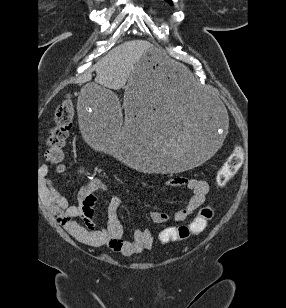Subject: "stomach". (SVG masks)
Here are the masks:
<instances>
[{
	"mask_svg": "<svg viewBox=\"0 0 286 308\" xmlns=\"http://www.w3.org/2000/svg\"><path fill=\"white\" fill-rule=\"evenodd\" d=\"M184 67L185 60L173 55L146 52L131 72L124 103L109 85H84L75 110L85 141L157 177H177L185 168L207 164L219 144H227V112L216 91Z\"/></svg>",
	"mask_w": 286,
	"mask_h": 308,
	"instance_id": "0dacf381",
	"label": "stomach"
}]
</instances>
